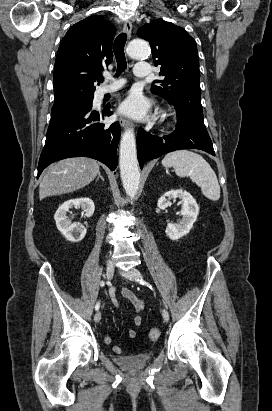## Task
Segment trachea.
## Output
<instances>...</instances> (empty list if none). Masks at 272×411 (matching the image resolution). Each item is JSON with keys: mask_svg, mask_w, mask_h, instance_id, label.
I'll return each instance as SVG.
<instances>
[{"mask_svg": "<svg viewBox=\"0 0 272 411\" xmlns=\"http://www.w3.org/2000/svg\"><path fill=\"white\" fill-rule=\"evenodd\" d=\"M127 34L121 33L119 34L113 44V51L115 54L116 62H117V73L115 77H118L127 67V62L124 53V47L126 43ZM104 78H100L99 82H103Z\"/></svg>", "mask_w": 272, "mask_h": 411, "instance_id": "trachea-1", "label": "trachea"}]
</instances>
